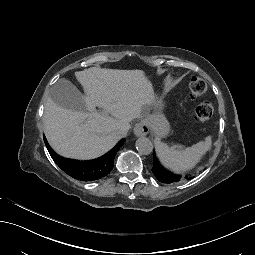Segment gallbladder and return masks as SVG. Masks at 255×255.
<instances>
[{
    "mask_svg": "<svg viewBox=\"0 0 255 255\" xmlns=\"http://www.w3.org/2000/svg\"><path fill=\"white\" fill-rule=\"evenodd\" d=\"M82 93L68 80L59 79L50 89L49 96L58 106L75 111L85 110Z\"/></svg>",
    "mask_w": 255,
    "mask_h": 255,
    "instance_id": "obj_1",
    "label": "gallbladder"
}]
</instances>
